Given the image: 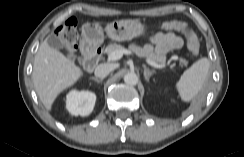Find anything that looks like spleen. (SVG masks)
I'll return each instance as SVG.
<instances>
[{"label":"spleen","mask_w":244,"mask_h":157,"mask_svg":"<svg viewBox=\"0 0 244 157\" xmlns=\"http://www.w3.org/2000/svg\"><path fill=\"white\" fill-rule=\"evenodd\" d=\"M209 70V60L203 57L184 71L175 88L182 101L192 100L201 90Z\"/></svg>","instance_id":"3e777b00"}]
</instances>
